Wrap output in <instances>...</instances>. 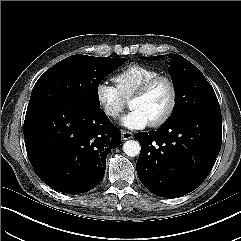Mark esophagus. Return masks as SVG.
Returning a JSON list of instances; mask_svg holds the SVG:
<instances>
[{"label": "esophagus", "instance_id": "obj_1", "mask_svg": "<svg viewBox=\"0 0 241 241\" xmlns=\"http://www.w3.org/2000/svg\"><path fill=\"white\" fill-rule=\"evenodd\" d=\"M133 138V133L129 131H122V139L123 140H129Z\"/></svg>", "mask_w": 241, "mask_h": 241}]
</instances>
